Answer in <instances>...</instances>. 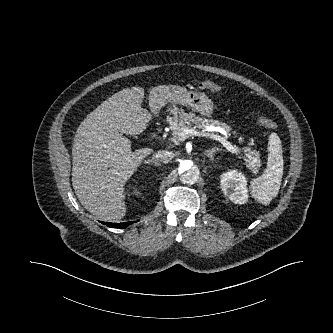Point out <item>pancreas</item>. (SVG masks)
Wrapping results in <instances>:
<instances>
[{
	"instance_id": "pancreas-1",
	"label": "pancreas",
	"mask_w": 333,
	"mask_h": 333,
	"mask_svg": "<svg viewBox=\"0 0 333 333\" xmlns=\"http://www.w3.org/2000/svg\"><path fill=\"white\" fill-rule=\"evenodd\" d=\"M173 116L168 117V122L170 125V129L173 131V139L177 141H182L183 138L178 134L181 133L184 129H190L192 126L198 129H207L209 126H219L224 129L227 133L232 131V128L226 123H222L219 121H213L209 119H203L198 116H195L193 113H184L179 112L177 109L172 111ZM233 134L236 136V132L233 131ZM240 142H243L240 139ZM244 152L246 153V165L252 170V172L256 173L261 166L260 164V155L256 150H251L250 148H245Z\"/></svg>"
}]
</instances>
